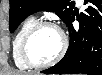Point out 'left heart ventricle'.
Listing matches in <instances>:
<instances>
[{"label": "left heart ventricle", "mask_w": 102, "mask_h": 75, "mask_svg": "<svg viewBox=\"0 0 102 75\" xmlns=\"http://www.w3.org/2000/svg\"><path fill=\"white\" fill-rule=\"evenodd\" d=\"M61 45L59 32L53 27H43L32 38L29 51L36 61L48 62L58 54Z\"/></svg>", "instance_id": "1"}]
</instances>
